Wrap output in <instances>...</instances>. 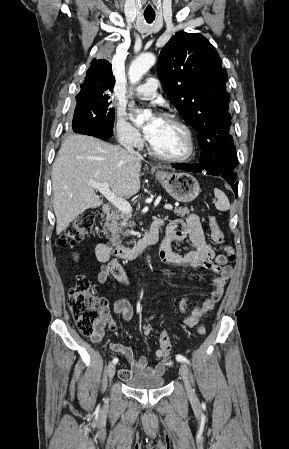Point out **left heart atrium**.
<instances>
[{"label":"left heart atrium","mask_w":289,"mask_h":449,"mask_svg":"<svg viewBox=\"0 0 289 449\" xmlns=\"http://www.w3.org/2000/svg\"><path fill=\"white\" fill-rule=\"evenodd\" d=\"M161 119L158 117L152 118V120L144 126V133L146 138L149 140L153 135L154 131L158 127Z\"/></svg>","instance_id":"left-heart-atrium-1"}]
</instances>
